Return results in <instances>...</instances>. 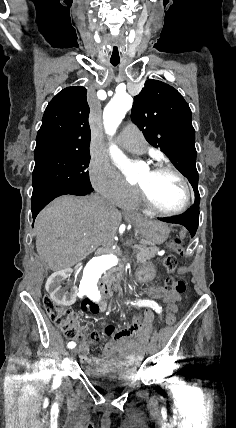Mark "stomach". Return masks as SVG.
<instances>
[{
    "label": "stomach",
    "mask_w": 236,
    "mask_h": 428,
    "mask_svg": "<svg viewBox=\"0 0 236 428\" xmlns=\"http://www.w3.org/2000/svg\"><path fill=\"white\" fill-rule=\"evenodd\" d=\"M169 228L164 222H158V220H149L144 222L142 226V234L146 242L150 244H163L169 236ZM139 270L135 271V279L137 283L147 285L152 282V275L156 270L155 262H141Z\"/></svg>",
    "instance_id": "1"
}]
</instances>
